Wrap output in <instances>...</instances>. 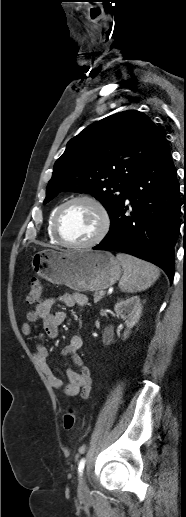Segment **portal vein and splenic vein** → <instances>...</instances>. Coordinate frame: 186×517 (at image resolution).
Masks as SVG:
<instances>
[{
    "label": "portal vein and splenic vein",
    "instance_id": "18ae733b",
    "mask_svg": "<svg viewBox=\"0 0 186 517\" xmlns=\"http://www.w3.org/2000/svg\"><path fill=\"white\" fill-rule=\"evenodd\" d=\"M100 294H101V295H104V294H105V291H100Z\"/></svg>",
    "mask_w": 186,
    "mask_h": 517
}]
</instances>
